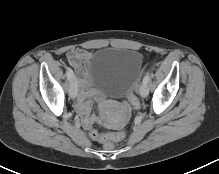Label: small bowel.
<instances>
[{"label": "small bowel", "instance_id": "small-bowel-1", "mask_svg": "<svg viewBox=\"0 0 219 174\" xmlns=\"http://www.w3.org/2000/svg\"><path fill=\"white\" fill-rule=\"evenodd\" d=\"M92 55V52L83 49H73L67 53V59L70 65L77 71L79 75L78 81L81 91L78 97L77 108L83 116V124L86 128H90L95 120V118L89 114L90 103L87 101V98L90 95V79L87 72V65ZM111 125L114 129H118L121 127V122L116 120L113 121Z\"/></svg>", "mask_w": 219, "mask_h": 174}]
</instances>
